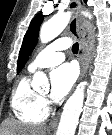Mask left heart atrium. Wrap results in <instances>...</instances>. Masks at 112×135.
<instances>
[{
  "instance_id": "39dd6f15",
  "label": "left heart atrium",
  "mask_w": 112,
  "mask_h": 135,
  "mask_svg": "<svg viewBox=\"0 0 112 135\" xmlns=\"http://www.w3.org/2000/svg\"><path fill=\"white\" fill-rule=\"evenodd\" d=\"M77 78V70L72 64H63L51 73V97L54 100L63 99Z\"/></svg>"
}]
</instances>
